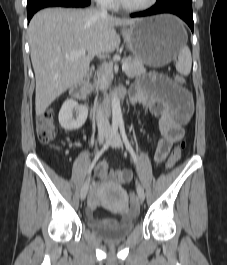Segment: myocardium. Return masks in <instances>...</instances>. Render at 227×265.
Listing matches in <instances>:
<instances>
[{
	"instance_id": "obj_1",
	"label": "myocardium",
	"mask_w": 227,
	"mask_h": 265,
	"mask_svg": "<svg viewBox=\"0 0 227 265\" xmlns=\"http://www.w3.org/2000/svg\"><path fill=\"white\" fill-rule=\"evenodd\" d=\"M158 0H149L147 3L143 4V5H139V6H130L127 5L123 0H117V3L119 5L120 8H122L125 11L128 12H142L145 10L150 9L151 7H153Z\"/></svg>"
}]
</instances>
